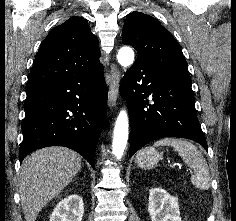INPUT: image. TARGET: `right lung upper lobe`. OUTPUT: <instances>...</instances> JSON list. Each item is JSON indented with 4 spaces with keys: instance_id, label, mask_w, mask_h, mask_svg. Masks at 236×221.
I'll use <instances>...</instances> for the list:
<instances>
[{
    "instance_id": "1",
    "label": "right lung upper lobe",
    "mask_w": 236,
    "mask_h": 221,
    "mask_svg": "<svg viewBox=\"0 0 236 221\" xmlns=\"http://www.w3.org/2000/svg\"><path fill=\"white\" fill-rule=\"evenodd\" d=\"M98 41L86 21L71 17L56 26L36 54L26 89L102 70Z\"/></svg>"
}]
</instances>
